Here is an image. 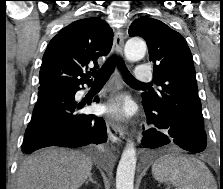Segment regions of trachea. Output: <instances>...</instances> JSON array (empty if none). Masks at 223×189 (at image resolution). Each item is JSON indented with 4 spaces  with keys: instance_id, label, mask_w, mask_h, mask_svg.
<instances>
[{
    "instance_id": "trachea-1",
    "label": "trachea",
    "mask_w": 223,
    "mask_h": 189,
    "mask_svg": "<svg viewBox=\"0 0 223 189\" xmlns=\"http://www.w3.org/2000/svg\"><path fill=\"white\" fill-rule=\"evenodd\" d=\"M115 66H118L119 69L123 72V74L126 77V80L128 83L131 84H138V85H148L146 83H142L137 81L132 74L127 70V68L124 65V62L118 57L113 56L110 58L100 70L92 73L94 79V82L96 83H105L109 79L111 73L113 72Z\"/></svg>"
}]
</instances>
